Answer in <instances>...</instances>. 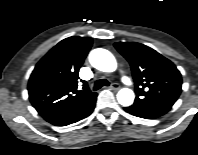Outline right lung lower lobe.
Here are the masks:
<instances>
[{
  "instance_id": "right-lung-lower-lobe-1",
  "label": "right lung lower lobe",
  "mask_w": 198,
  "mask_h": 155,
  "mask_svg": "<svg viewBox=\"0 0 198 155\" xmlns=\"http://www.w3.org/2000/svg\"><path fill=\"white\" fill-rule=\"evenodd\" d=\"M96 98L97 93L93 92L72 107L43 118L56 126H66L75 123L92 113Z\"/></svg>"
}]
</instances>
